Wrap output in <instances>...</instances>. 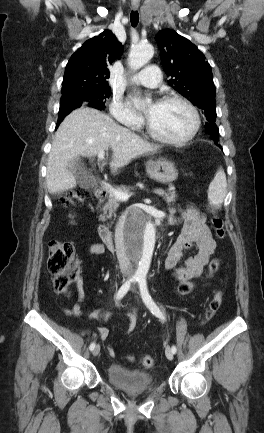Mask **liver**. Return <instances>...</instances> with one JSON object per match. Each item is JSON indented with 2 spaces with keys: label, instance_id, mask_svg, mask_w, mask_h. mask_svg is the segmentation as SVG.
I'll return each instance as SVG.
<instances>
[{
  "label": "liver",
  "instance_id": "6515ba94",
  "mask_svg": "<svg viewBox=\"0 0 264 433\" xmlns=\"http://www.w3.org/2000/svg\"><path fill=\"white\" fill-rule=\"evenodd\" d=\"M108 148L112 150L109 165L111 171L116 172L141 155L156 153L160 147L118 125L97 109H76L55 133L47 164L49 193L65 192L76 186V177L70 169L76 158L94 157Z\"/></svg>",
  "mask_w": 264,
  "mask_h": 433
}]
</instances>
